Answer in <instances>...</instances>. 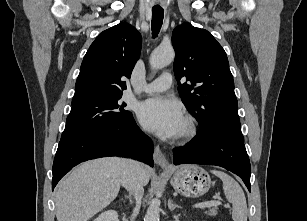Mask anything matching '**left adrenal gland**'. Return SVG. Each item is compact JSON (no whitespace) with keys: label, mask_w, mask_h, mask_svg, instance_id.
<instances>
[{"label":"left adrenal gland","mask_w":307,"mask_h":221,"mask_svg":"<svg viewBox=\"0 0 307 221\" xmlns=\"http://www.w3.org/2000/svg\"><path fill=\"white\" fill-rule=\"evenodd\" d=\"M168 208L170 211H173L175 208H181L178 204H174L172 200L168 201Z\"/></svg>","instance_id":"1"}]
</instances>
